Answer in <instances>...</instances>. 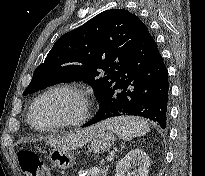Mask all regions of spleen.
Returning a JSON list of instances; mask_svg holds the SVG:
<instances>
[{
    "mask_svg": "<svg viewBox=\"0 0 205 176\" xmlns=\"http://www.w3.org/2000/svg\"><path fill=\"white\" fill-rule=\"evenodd\" d=\"M100 124L111 129L124 141L145 135L150 131L147 121L140 117L120 116L105 120Z\"/></svg>",
    "mask_w": 205,
    "mask_h": 176,
    "instance_id": "1",
    "label": "spleen"
}]
</instances>
